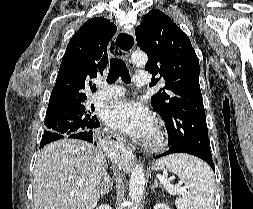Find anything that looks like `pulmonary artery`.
I'll list each match as a JSON object with an SVG mask.
<instances>
[{
    "label": "pulmonary artery",
    "mask_w": 253,
    "mask_h": 209,
    "mask_svg": "<svg viewBox=\"0 0 253 209\" xmlns=\"http://www.w3.org/2000/svg\"><path fill=\"white\" fill-rule=\"evenodd\" d=\"M134 84L138 87H143L148 84L149 76L146 71H137L134 75ZM124 95V89L116 85H101V89L92 96V100H111Z\"/></svg>",
    "instance_id": "1"
}]
</instances>
